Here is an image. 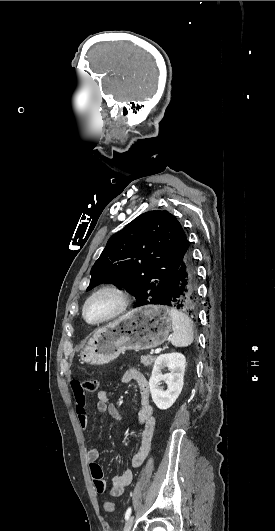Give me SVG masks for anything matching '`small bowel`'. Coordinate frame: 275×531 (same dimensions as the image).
Segmentation results:
<instances>
[{"mask_svg":"<svg viewBox=\"0 0 275 531\" xmlns=\"http://www.w3.org/2000/svg\"><path fill=\"white\" fill-rule=\"evenodd\" d=\"M76 379L75 377L73 378ZM132 381H136L140 395V409L138 412V425L141 427V445L138 451L134 452L129 459V468L115 477L110 485L107 487L103 479V472L98 464L100 451L97 447H93L87 451L86 458L90 464V473L94 481V487L98 494H103L107 490L113 497L121 495L124 490L131 484L133 479L132 467L141 466L148 455L149 446L156 426V417L154 408L150 401V386L146 376L135 368L126 370L122 377L121 383L128 385ZM70 392L73 397L81 396L83 390H78L76 383L70 385ZM97 409L102 413H107L112 419L120 420L121 414L117 407L110 402L109 394L106 390H100L97 393ZM77 412L79 422L82 429H87L90 426V417L86 410V399H80L77 402Z\"/></svg>","mask_w":275,"mask_h":531,"instance_id":"small-bowel-1","label":"small bowel"}]
</instances>
